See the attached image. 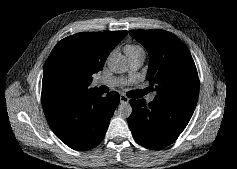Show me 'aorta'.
Returning a JSON list of instances; mask_svg holds the SVG:
<instances>
[{
  "mask_svg": "<svg viewBox=\"0 0 237 169\" xmlns=\"http://www.w3.org/2000/svg\"><path fill=\"white\" fill-rule=\"evenodd\" d=\"M107 65L109 69L116 74L124 73L129 68V63L127 58L122 54L110 55L107 60ZM116 113L121 118H128L132 113V107L130 103L122 101L116 110Z\"/></svg>",
  "mask_w": 237,
  "mask_h": 169,
  "instance_id": "obj_1",
  "label": "aorta"
}]
</instances>
